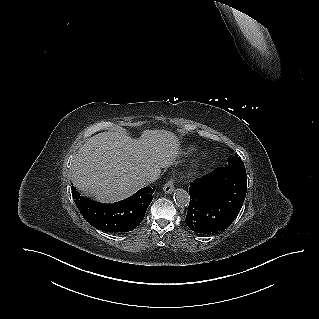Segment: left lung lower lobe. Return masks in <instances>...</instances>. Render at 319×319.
I'll return each instance as SVG.
<instances>
[{"mask_svg": "<svg viewBox=\"0 0 319 319\" xmlns=\"http://www.w3.org/2000/svg\"><path fill=\"white\" fill-rule=\"evenodd\" d=\"M247 191L245 168L218 167L190 184L186 224L197 233H215L236 219Z\"/></svg>", "mask_w": 319, "mask_h": 319, "instance_id": "0a47b994", "label": "left lung lower lobe"}]
</instances>
